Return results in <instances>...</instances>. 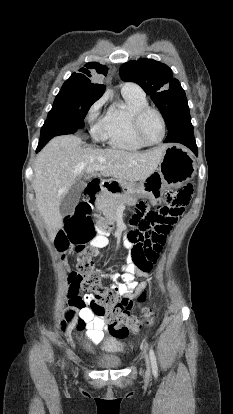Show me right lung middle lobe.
Segmentation results:
<instances>
[{"mask_svg": "<svg viewBox=\"0 0 233 414\" xmlns=\"http://www.w3.org/2000/svg\"><path fill=\"white\" fill-rule=\"evenodd\" d=\"M98 99L99 97L93 93L62 86L47 120H56L81 129L84 127V118L89 108Z\"/></svg>", "mask_w": 233, "mask_h": 414, "instance_id": "1", "label": "right lung middle lobe"}]
</instances>
